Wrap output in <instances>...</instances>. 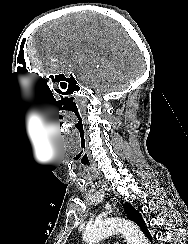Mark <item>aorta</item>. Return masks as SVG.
Listing matches in <instances>:
<instances>
[{
    "instance_id": "1",
    "label": "aorta",
    "mask_w": 188,
    "mask_h": 244,
    "mask_svg": "<svg viewBox=\"0 0 188 244\" xmlns=\"http://www.w3.org/2000/svg\"><path fill=\"white\" fill-rule=\"evenodd\" d=\"M121 233L125 236L127 244H148L144 234L131 221L122 218H109L102 222L94 223L83 232V240L87 244Z\"/></svg>"
}]
</instances>
